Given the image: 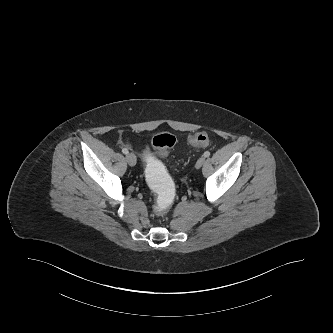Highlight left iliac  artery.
I'll list each match as a JSON object with an SVG mask.
<instances>
[{
    "label": "left iliac artery",
    "mask_w": 333,
    "mask_h": 333,
    "mask_svg": "<svg viewBox=\"0 0 333 333\" xmlns=\"http://www.w3.org/2000/svg\"><path fill=\"white\" fill-rule=\"evenodd\" d=\"M203 156L204 157H209L210 156V152L209 151L204 152Z\"/></svg>",
    "instance_id": "44dca946"
}]
</instances>
